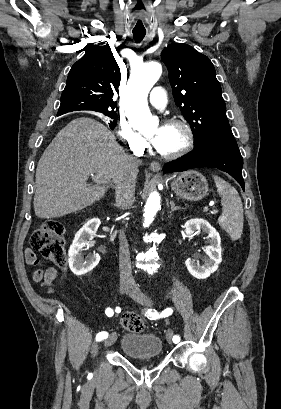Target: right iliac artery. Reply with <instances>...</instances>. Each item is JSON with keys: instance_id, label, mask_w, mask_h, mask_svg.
<instances>
[{"instance_id": "82829eb1", "label": "right iliac artery", "mask_w": 281, "mask_h": 409, "mask_svg": "<svg viewBox=\"0 0 281 409\" xmlns=\"http://www.w3.org/2000/svg\"><path fill=\"white\" fill-rule=\"evenodd\" d=\"M105 313H106V315L109 316V317H111V316L114 314V312H113V310H112L111 308H107L106 311H105ZM107 337H108V333L105 332V331H102V332H100V333L97 334L96 340H97V341H101V340H103V339H106Z\"/></svg>"}]
</instances>
